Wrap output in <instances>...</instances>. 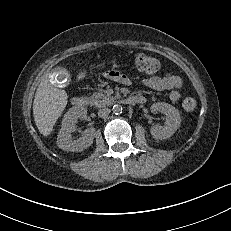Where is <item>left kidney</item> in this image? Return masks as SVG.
<instances>
[{
	"label": "left kidney",
	"instance_id": "obj_1",
	"mask_svg": "<svg viewBox=\"0 0 231 231\" xmlns=\"http://www.w3.org/2000/svg\"><path fill=\"white\" fill-rule=\"evenodd\" d=\"M152 112H161L165 115L163 126H153L150 129L151 135L157 140L170 138L180 127L181 116L179 111L172 105L165 102H157L151 106Z\"/></svg>",
	"mask_w": 231,
	"mask_h": 231
}]
</instances>
